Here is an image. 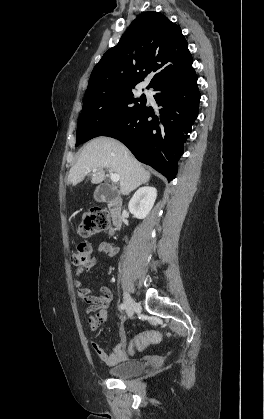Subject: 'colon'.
I'll use <instances>...</instances> for the list:
<instances>
[{
	"label": "colon",
	"instance_id": "5ec220e1",
	"mask_svg": "<svg viewBox=\"0 0 264 419\" xmlns=\"http://www.w3.org/2000/svg\"><path fill=\"white\" fill-rule=\"evenodd\" d=\"M110 220L108 213L102 209H93L86 213L79 225V232L83 236H90L96 233L110 231ZM72 262L76 266L89 267L93 262L92 247L86 241L78 242L72 253ZM156 339L154 332H147L137 335L131 342V349L135 352L145 349L154 343Z\"/></svg>",
	"mask_w": 264,
	"mask_h": 419
}]
</instances>
